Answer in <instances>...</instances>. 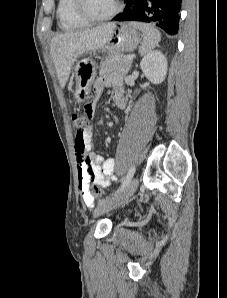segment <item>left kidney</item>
Segmentation results:
<instances>
[{"mask_svg": "<svg viewBox=\"0 0 227 298\" xmlns=\"http://www.w3.org/2000/svg\"><path fill=\"white\" fill-rule=\"evenodd\" d=\"M167 59L158 50L148 53L140 62V68L146 78L154 83H161L167 74Z\"/></svg>", "mask_w": 227, "mask_h": 298, "instance_id": "obj_1", "label": "left kidney"}]
</instances>
